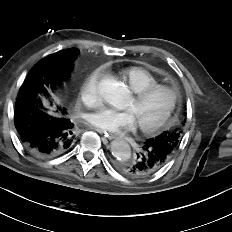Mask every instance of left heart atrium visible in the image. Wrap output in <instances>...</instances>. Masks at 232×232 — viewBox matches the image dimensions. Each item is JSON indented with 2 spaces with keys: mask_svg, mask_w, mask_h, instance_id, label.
Here are the masks:
<instances>
[{
  "mask_svg": "<svg viewBox=\"0 0 232 232\" xmlns=\"http://www.w3.org/2000/svg\"><path fill=\"white\" fill-rule=\"evenodd\" d=\"M88 124L110 133H123L133 130L137 124L133 113L129 110H115L100 107L85 116Z\"/></svg>",
  "mask_w": 232,
  "mask_h": 232,
  "instance_id": "obj_1",
  "label": "left heart atrium"
}]
</instances>
